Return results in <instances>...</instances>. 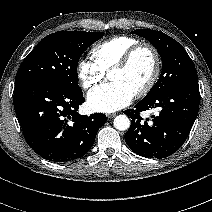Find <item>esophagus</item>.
<instances>
[{"label":"esophagus","mask_w":212,"mask_h":212,"mask_svg":"<svg viewBox=\"0 0 212 212\" xmlns=\"http://www.w3.org/2000/svg\"><path fill=\"white\" fill-rule=\"evenodd\" d=\"M115 116H116V114H115V113L107 114V117H108V118H114Z\"/></svg>","instance_id":"1"}]
</instances>
